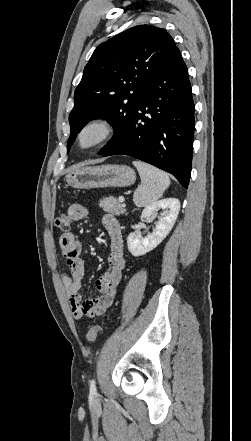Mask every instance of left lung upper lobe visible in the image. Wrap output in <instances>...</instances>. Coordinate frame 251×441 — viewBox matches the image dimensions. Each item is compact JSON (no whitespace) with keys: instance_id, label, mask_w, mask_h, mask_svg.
I'll return each instance as SVG.
<instances>
[{"instance_id":"obj_1","label":"left lung upper lobe","mask_w":251,"mask_h":441,"mask_svg":"<svg viewBox=\"0 0 251 441\" xmlns=\"http://www.w3.org/2000/svg\"><path fill=\"white\" fill-rule=\"evenodd\" d=\"M176 48L167 31L151 25L132 27L100 44L74 93L68 149L93 118L107 117L114 130L123 127Z\"/></svg>"}]
</instances>
